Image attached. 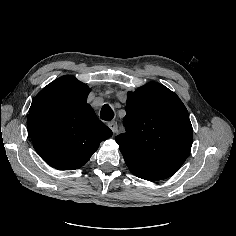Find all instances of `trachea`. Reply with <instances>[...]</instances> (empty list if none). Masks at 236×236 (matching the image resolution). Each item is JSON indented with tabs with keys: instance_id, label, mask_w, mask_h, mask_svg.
Here are the masks:
<instances>
[{
	"instance_id": "1",
	"label": "trachea",
	"mask_w": 236,
	"mask_h": 236,
	"mask_svg": "<svg viewBox=\"0 0 236 236\" xmlns=\"http://www.w3.org/2000/svg\"><path fill=\"white\" fill-rule=\"evenodd\" d=\"M101 119L105 121H110L114 117V112L108 104H105L100 112Z\"/></svg>"
}]
</instances>
